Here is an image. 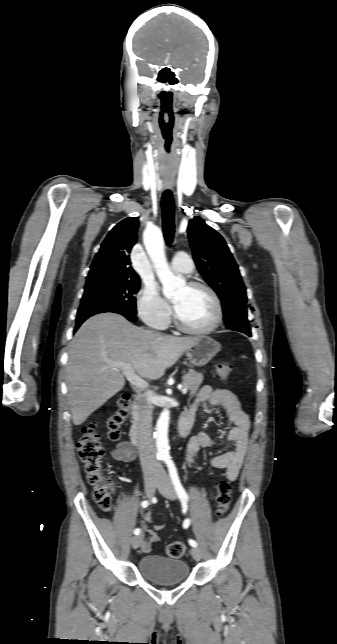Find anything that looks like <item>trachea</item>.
Listing matches in <instances>:
<instances>
[{"label": "trachea", "mask_w": 337, "mask_h": 644, "mask_svg": "<svg viewBox=\"0 0 337 644\" xmlns=\"http://www.w3.org/2000/svg\"><path fill=\"white\" fill-rule=\"evenodd\" d=\"M162 224L166 244L170 245L175 233L174 201L170 190H165L162 195Z\"/></svg>", "instance_id": "3493384b"}]
</instances>
